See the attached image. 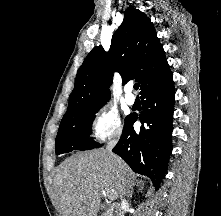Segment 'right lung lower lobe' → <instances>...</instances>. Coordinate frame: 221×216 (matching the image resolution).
Masks as SVG:
<instances>
[{"instance_id": "98d812e1", "label": "right lung lower lobe", "mask_w": 221, "mask_h": 216, "mask_svg": "<svg viewBox=\"0 0 221 216\" xmlns=\"http://www.w3.org/2000/svg\"><path fill=\"white\" fill-rule=\"evenodd\" d=\"M141 95L140 131L136 132L133 128L137 116L129 115L121 138L112 151L122 157L133 171L149 176L157 190L166 174L172 151L175 92L170 69L146 86Z\"/></svg>"}]
</instances>
